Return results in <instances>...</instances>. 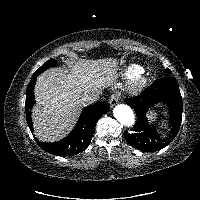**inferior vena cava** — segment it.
Wrapping results in <instances>:
<instances>
[{
	"instance_id": "inferior-vena-cava-1",
	"label": "inferior vena cava",
	"mask_w": 200,
	"mask_h": 200,
	"mask_svg": "<svg viewBox=\"0 0 200 200\" xmlns=\"http://www.w3.org/2000/svg\"><path fill=\"white\" fill-rule=\"evenodd\" d=\"M98 99H99L98 92H92V93L85 92L83 94V96L81 97V101L85 105H89V104L95 103V102L98 101Z\"/></svg>"
}]
</instances>
